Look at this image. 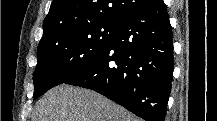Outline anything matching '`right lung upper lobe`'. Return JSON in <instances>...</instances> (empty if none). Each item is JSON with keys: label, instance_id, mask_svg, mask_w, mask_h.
<instances>
[{"label": "right lung upper lobe", "instance_id": "right-lung-upper-lobe-1", "mask_svg": "<svg viewBox=\"0 0 217 121\" xmlns=\"http://www.w3.org/2000/svg\"><path fill=\"white\" fill-rule=\"evenodd\" d=\"M150 0H53L38 47L95 23H121Z\"/></svg>", "mask_w": 217, "mask_h": 121}]
</instances>
